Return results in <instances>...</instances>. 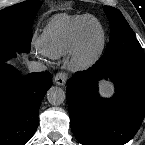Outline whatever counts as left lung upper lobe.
Returning <instances> with one entry per match:
<instances>
[{
  "label": "left lung upper lobe",
  "instance_id": "5c2ea615",
  "mask_svg": "<svg viewBox=\"0 0 145 145\" xmlns=\"http://www.w3.org/2000/svg\"><path fill=\"white\" fill-rule=\"evenodd\" d=\"M104 12L111 24V32L103 60L107 63H145L143 49L122 13L109 6H104Z\"/></svg>",
  "mask_w": 145,
  "mask_h": 145
}]
</instances>
